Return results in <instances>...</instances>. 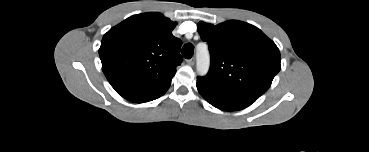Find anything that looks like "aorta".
I'll return each mask as SVG.
<instances>
[{
	"instance_id": "aorta-1",
	"label": "aorta",
	"mask_w": 369,
	"mask_h": 152,
	"mask_svg": "<svg viewBox=\"0 0 369 152\" xmlns=\"http://www.w3.org/2000/svg\"><path fill=\"white\" fill-rule=\"evenodd\" d=\"M210 66V56L206 48H198L197 50V73L199 75H205Z\"/></svg>"
}]
</instances>
